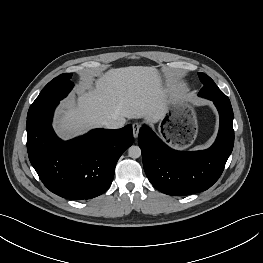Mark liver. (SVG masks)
<instances>
[{
  "label": "liver",
  "mask_w": 263,
  "mask_h": 263,
  "mask_svg": "<svg viewBox=\"0 0 263 263\" xmlns=\"http://www.w3.org/2000/svg\"><path fill=\"white\" fill-rule=\"evenodd\" d=\"M168 90L153 67L110 69L97 79L85 76L76 101H66L58 112L56 130L71 138L106 120L125 123L126 118L156 122L168 112Z\"/></svg>",
  "instance_id": "obj_1"
}]
</instances>
